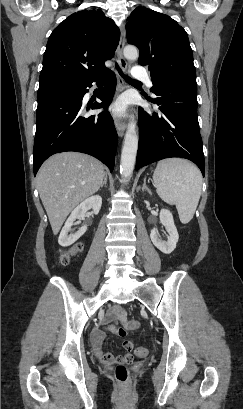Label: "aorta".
Segmentation results:
<instances>
[{
	"mask_svg": "<svg viewBox=\"0 0 243 409\" xmlns=\"http://www.w3.org/2000/svg\"><path fill=\"white\" fill-rule=\"evenodd\" d=\"M123 53L125 58L131 61H135L139 57L138 50L134 46H126L124 48ZM137 148L138 133L136 130V122L134 120V117H131L127 126L124 144L121 152L120 172L122 176L125 178L131 177L133 173L136 161Z\"/></svg>",
	"mask_w": 243,
	"mask_h": 409,
	"instance_id": "obj_1",
	"label": "aorta"
}]
</instances>
